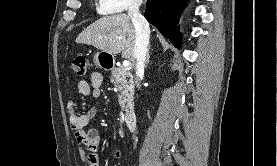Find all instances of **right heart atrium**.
Here are the masks:
<instances>
[{
    "mask_svg": "<svg viewBox=\"0 0 277 166\" xmlns=\"http://www.w3.org/2000/svg\"><path fill=\"white\" fill-rule=\"evenodd\" d=\"M141 0H97V9L103 14L127 12L137 9Z\"/></svg>",
    "mask_w": 277,
    "mask_h": 166,
    "instance_id": "1",
    "label": "right heart atrium"
}]
</instances>
